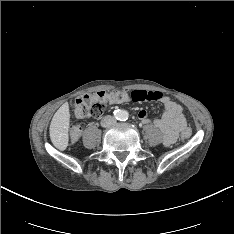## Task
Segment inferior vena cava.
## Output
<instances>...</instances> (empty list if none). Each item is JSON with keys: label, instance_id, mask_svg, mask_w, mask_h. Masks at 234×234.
<instances>
[{"label": "inferior vena cava", "instance_id": "1", "mask_svg": "<svg viewBox=\"0 0 234 234\" xmlns=\"http://www.w3.org/2000/svg\"><path fill=\"white\" fill-rule=\"evenodd\" d=\"M115 122H116V120L113 116L107 115L101 120V126L109 127V126L113 125Z\"/></svg>", "mask_w": 234, "mask_h": 234}]
</instances>
